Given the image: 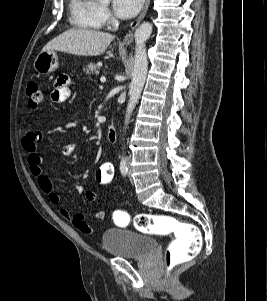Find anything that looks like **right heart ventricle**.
<instances>
[{
  "label": "right heart ventricle",
  "instance_id": "obj_1",
  "mask_svg": "<svg viewBox=\"0 0 267 301\" xmlns=\"http://www.w3.org/2000/svg\"><path fill=\"white\" fill-rule=\"evenodd\" d=\"M97 0H71L70 20L73 26L85 30H97L102 26Z\"/></svg>",
  "mask_w": 267,
  "mask_h": 301
}]
</instances>
